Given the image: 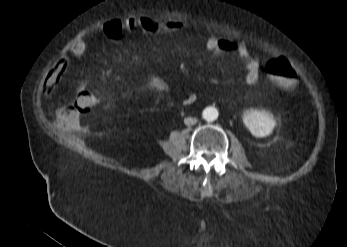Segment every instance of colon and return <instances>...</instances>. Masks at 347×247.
<instances>
[{
    "label": "colon",
    "instance_id": "obj_1",
    "mask_svg": "<svg viewBox=\"0 0 347 247\" xmlns=\"http://www.w3.org/2000/svg\"><path fill=\"white\" fill-rule=\"evenodd\" d=\"M271 81L280 89L290 91L295 88L298 77L293 66L286 59L271 60L266 65ZM97 106V97L90 90H81L75 95V104L63 106L55 112L56 120L65 127L78 123L79 113H90Z\"/></svg>",
    "mask_w": 347,
    "mask_h": 247
}]
</instances>
